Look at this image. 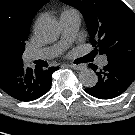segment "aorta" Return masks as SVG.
Instances as JSON below:
<instances>
[{
  "mask_svg": "<svg viewBox=\"0 0 135 135\" xmlns=\"http://www.w3.org/2000/svg\"><path fill=\"white\" fill-rule=\"evenodd\" d=\"M34 31L40 40L54 42L59 38L61 29L56 19L46 16L36 21ZM79 81L86 87H93L96 85L98 77L92 69H83L79 73Z\"/></svg>",
  "mask_w": 135,
  "mask_h": 135,
  "instance_id": "obj_1",
  "label": "aorta"
}]
</instances>
